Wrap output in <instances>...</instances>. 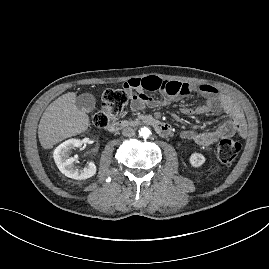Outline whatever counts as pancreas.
<instances>
[{
	"mask_svg": "<svg viewBox=\"0 0 269 269\" xmlns=\"http://www.w3.org/2000/svg\"><path fill=\"white\" fill-rule=\"evenodd\" d=\"M140 118H141V116H139L137 120H139Z\"/></svg>",
	"mask_w": 269,
	"mask_h": 269,
	"instance_id": "cf45deb5",
	"label": "pancreas"
}]
</instances>
